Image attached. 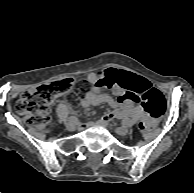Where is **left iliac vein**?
Returning <instances> with one entry per match:
<instances>
[{"label":"left iliac vein","mask_w":194,"mask_h":193,"mask_svg":"<svg viewBox=\"0 0 194 193\" xmlns=\"http://www.w3.org/2000/svg\"><path fill=\"white\" fill-rule=\"evenodd\" d=\"M115 132L118 134V135H121V136H125L129 133V129L125 126H121V127H118L115 129Z\"/></svg>","instance_id":"left-iliac-vein-1"}]
</instances>
